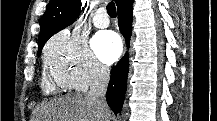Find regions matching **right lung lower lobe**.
Returning a JSON list of instances; mask_svg holds the SVG:
<instances>
[{
    "instance_id": "1",
    "label": "right lung lower lobe",
    "mask_w": 217,
    "mask_h": 121,
    "mask_svg": "<svg viewBox=\"0 0 217 121\" xmlns=\"http://www.w3.org/2000/svg\"><path fill=\"white\" fill-rule=\"evenodd\" d=\"M132 4L133 0H123L117 5L118 25L121 33L128 43L132 30ZM128 76V54H126L116 66L112 68L111 78L106 93L107 103L115 114L121 111Z\"/></svg>"
}]
</instances>
